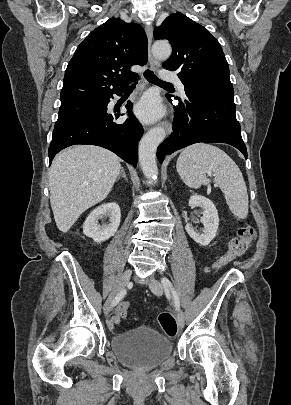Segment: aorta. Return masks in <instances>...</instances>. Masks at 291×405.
<instances>
[{
  "instance_id": "762f6f07",
  "label": "aorta",
  "mask_w": 291,
  "mask_h": 405,
  "mask_svg": "<svg viewBox=\"0 0 291 405\" xmlns=\"http://www.w3.org/2000/svg\"><path fill=\"white\" fill-rule=\"evenodd\" d=\"M153 56L159 60H166L172 53L171 45L168 41L159 40L152 46ZM166 131L158 126L150 129L141 139L139 144V163L144 176L149 180H155L158 176L156 164V150L158 145L164 140Z\"/></svg>"
}]
</instances>
